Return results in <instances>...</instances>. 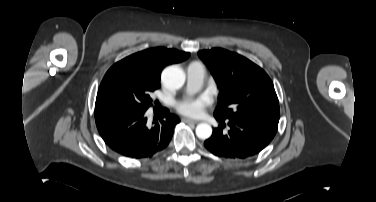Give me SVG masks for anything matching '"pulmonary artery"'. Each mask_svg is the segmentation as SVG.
Returning a JSON list of instances; mask_svg holds the SVG:
<instances>
[{
  "instance_id": "obj_1",
  "label": "pulmonary artery",
  "mask_w": 376,
  "mask_h": 202,
  "mask_svg": "<svg viewBox=\"0 0 376 202\" xmlns=\"http://www.w3.org/2000/svg\"><path fill=\"white\" fill-rule=\"evenodd\" d=\"M206 69L200 62H193L187 68V85L189 91L198 90L205 79Z\"/></svg>"
}]
</instances>
